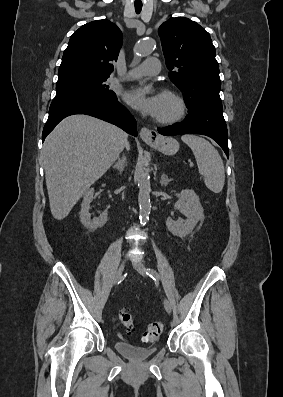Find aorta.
Returning <instances> with one entry per match:
<instances>
[{
    "instance_id": "762f6f07",
    "label": "aorta",
    "mask_w": 283,
    "mask_h": 397,
    "mask_svg": "<svg viewBox=\"0 0 283 397\" xmlns=\"http://www.w3.org/2000/svg\"><path fill=\"white\" fill-rule=\"evenodd\" d=\"M154 42L149 40H143L138 42L134 47V52L138 56H147L153 50ZM151 87L147 86L144 88L146 92L150 91ZM150 177L148 172L143 171L139 180V194H138V203H139V214L140 220L146 222L149 219L150 211H151V203H150Z\"/></svg>"
}]
</instances>
